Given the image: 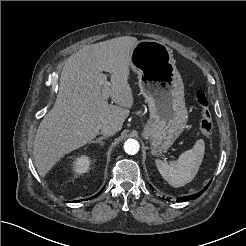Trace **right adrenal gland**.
<instances>
[{
  "instance_id": "obj_1",
  "label": "right adrenal gland",
  "mask_w": 246,
  "mask_h": 246,
  "mask_svg": "<svg viewBox=\"0 0 246 246\" xmlns=\"http://www.w3.org/2000/svg\"><path fill=\"white\" fill-rule=\"evenodd\" d=\"M106 139H108L107 136L98 137L97 139L92 140L91 143H99L101 146H103L104 145L103 140H106Z\"/></svg>"
}]
</instances>
